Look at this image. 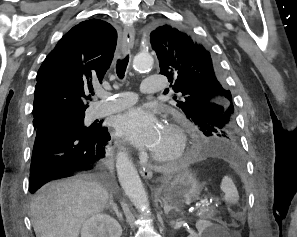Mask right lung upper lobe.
<instances>
[{
	"label": "right lung upper lobe",
	"instance_id": "cb5924a9",
	"mask_svg": "<svg viewBox=\"0 0 297 237\" xmlns=\"http://www.w3.org/2000/svg\"><path fill=\"white\" fill-rule=\"evenodd\" d=\"M117 32L99 19L83 21L64 35L37 73L34 120L59 112H79L92 83L104 77L116 48Z\"/></svg>",
	"mask_w": 297,
	"mask_h": 237
}]
</instances>
